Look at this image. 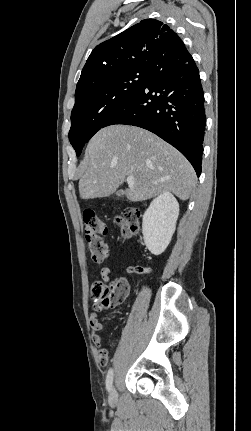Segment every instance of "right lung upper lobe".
Wrapping results in <instances>:
<instances>
[{"label":"right lung upper lobe","mask_w":251,"mask_h":431,"mask_svg":"<svg viewBox=\"0 0 251 431\" xmlns=\"http://www.w3.org/2000/svg\"><path fill=\"white\" fill-rule=\"evenodd\" d=\"M184 46L168 25L155 19L142 20L95 47L75 94L129 70L147 68L158 56Z\"/></svg>","instance_id":"1"}]
</instances>
